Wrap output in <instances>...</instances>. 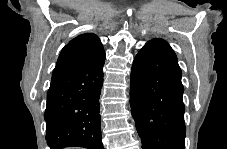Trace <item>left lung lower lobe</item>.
Masks as SVG:
<instances>
[{
	"label": "left lung lower lobe",
	"instance_id": "1",
	"mask_svg": "<svg viewBox=\"0 0 227 149\" xmlns=\"http://www.w3.org/2000/svg\"><path fill=\"white\" fill-rule=\"evenodd\" d=\"M182 72L163 39H152L131 70L130 106L142 149H185Z\"/></svg>",
	"mask_w": 227,
	"mask_h": 149
}]
</instances>
